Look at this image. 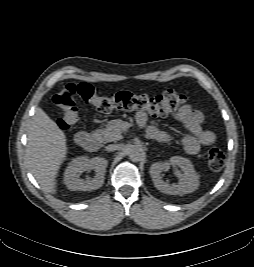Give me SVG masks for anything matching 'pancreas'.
<instances>
[{"instance_id":"cf45deb5","label":"pancreas","mask_w":254,"mask_h":267,"mask_svg":"<svg viewBox=\"0 0 254 267\" xmlns=\"http://www.w3.org/2000/svg\"><path fill=\"white\" fill-rule=\"evenodd\" d=\"M123 121L120 119L111 120L104 129L96 130L94 135L101 143L115 142L122 137Z\"/></svg>"}]
</instances>
